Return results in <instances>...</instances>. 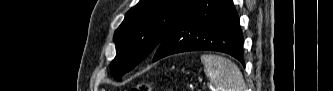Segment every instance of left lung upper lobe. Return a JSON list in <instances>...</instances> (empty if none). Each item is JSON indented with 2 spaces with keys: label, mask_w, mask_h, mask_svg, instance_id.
Masks as SVG:
<instances>
[{
  "label": "left lung upper lobe",
  "mask_w": 333,
  "mask_h": 91,
  "mask_svg": "<svg viewBox=\"0 0 333 91\" xmlns=\"http://www.w3.org/2000/svg\"><path fill=\"white\" fill-rule=\"evenodd\" d=\"M197 1L140 0L115 31L116 57L110 64L112 76L121 81L122 75L152 54Z\"/></svg>",
  "instance_id": "obj_1"
}]
</instances>
